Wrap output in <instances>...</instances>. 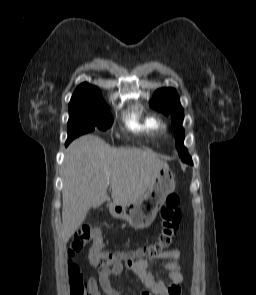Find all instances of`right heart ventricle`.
Here are the masks:
<instances>
[{
  "label": "right heart ventricle",
  "instance_id": "obj_1",
  "mask_svg": "<svg viewBox=\"0 0 256 295\" xmlns=\"http://www.w3.org/2000/svg\"><path fill=\"white\" fill-rule=\"evenodd\" d=\"M127 125L136 133L155 131L158 129V122L154 117L145 115L137 109L129 114Z\"/></svg>",
  "mask_w": 256,
  "mask_h": 295
}]
</instances>
